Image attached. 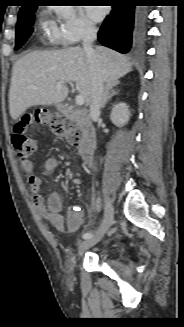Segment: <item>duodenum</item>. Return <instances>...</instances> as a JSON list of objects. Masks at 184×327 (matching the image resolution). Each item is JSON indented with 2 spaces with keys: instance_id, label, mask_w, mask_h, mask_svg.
<instances>
[{
  "instance_id": "duodenum-1",
  "label": "duodenum",
  "mask_w": 184,
  "mask_h": 327,
  "mask_svg": "<svg viewBox=\"0 0 184 327\" xmlns=\"http://www.w3.org/2000/svg\"><path fill=\"white\" fill-rule=\"evenodd\" d=\"M61 113L77 122L82 135L78 152L85 164H91L94 158L97 140L89 114L85 110H78L67 104L61 106Z\"/></svg>"
}]
</instances>
